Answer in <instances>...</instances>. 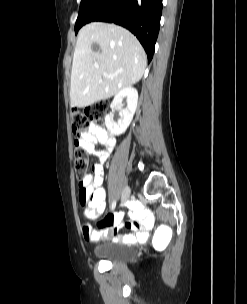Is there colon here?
<instances>
[{"label": "colon", "instance_id": "obj_1", "mask_svg": "<svg viewBox=\"0 0 247 304\" xmlns=\"http://www.w3.org/2000/svg\"><path fill=\"white\" fill-rule=\"evenodd\" d=\"M108 108L109 104L106 101H99L91 104L83 110H74L72 112V131L75 135L74 167L79 179V196L82 201L84 200L82 182L88 170L89 159L87 152L79 144V138L86 132L92 123H101L104 120L108 112ZM169 240H173V233H171L166 222H161L158 229H155L154 237H151L150 242L151 244H154V248H157V251H160V248H167Z\"/></svg>", "mask_w": 247, "mask_h": 304}]
</instances>
